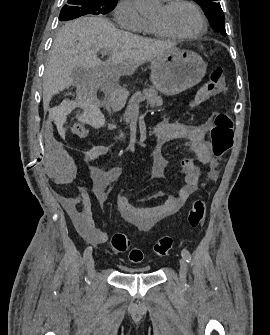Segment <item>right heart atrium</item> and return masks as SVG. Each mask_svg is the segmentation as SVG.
<instances>
[{
  "instance_id": "right-heart-atrium-1",
  "label": "right heart atrium",
  "mask_w": 270,
  "mask_h": 335,
  "mask_svg": "<svg viewBox=\"0 0 270 335\" xmlns=\"http://www.w3.org/2000/svg\"><path fill=\"white\" fill-rule=\"evenodd\" d=\"M114 21L129 31L142 32L145 19L140 15L135 0H120L114 9Z\"/></svg>"
}]
</instances>
